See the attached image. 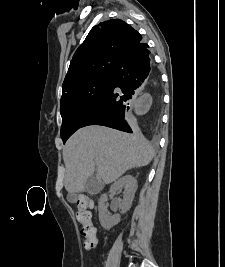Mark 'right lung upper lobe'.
Returning <instances> with one entry per match:
<instances>
[{"label": "right lung upper lobe", "instance_id": "cb5924a9", "mask_svg": "<svg viewBox=\"0 0 225 267\" xmlns=\"http://www.w3.org/2000/svg\"><path fill=\"white\" fill-rule=\"evenodd\" d=\"M142 36L121 19L95 25L75 52L62 92L92 78L112 74L121 56Z\"/></svg>", "mask_w": 225, "mask_h": 267}]
</instances>
